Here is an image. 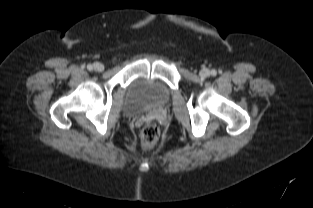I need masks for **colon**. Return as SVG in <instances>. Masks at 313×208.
<instances>
[{
    "mask_svg": "<svg viewBox=\"0 0 313 208\" xmlns=\"http://www.w3.org/2000/svg\"><path fill=\"white\" fill-rule=\"evenodd\" d=\"M160 130L155 124L145 125L140 133L141 145L143 149H151L158 141Z\"/></svg>",
    "mask_w": 313,
    "mask_h": 208,
    "instance_id": "1",
    "label": "colon"
}]
</instances>
